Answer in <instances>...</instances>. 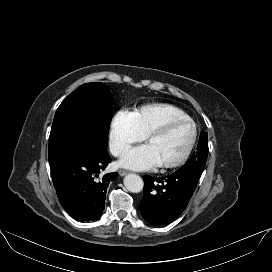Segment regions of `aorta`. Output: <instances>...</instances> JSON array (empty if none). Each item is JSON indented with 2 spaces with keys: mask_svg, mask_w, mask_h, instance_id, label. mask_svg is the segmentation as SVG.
Returning <instances> with one entry per match:
<instances>
[{
  "mask_svg": "<svg viewBox=\"0 0 272 272\" xmlns=\"http://www.w3.org/2000/svg\"><path fill=\"white\" fill-rule=\"evenodd\" d=\"M124 185L128 191L138 193L142 191L144 183L142 178L137 174H128L124 178Z\"/></svg>",
  "mask_w": 272,
  "mask_h": 272,
  "instance_id": "1",
  "label": "aorta"
}]
</instances>
